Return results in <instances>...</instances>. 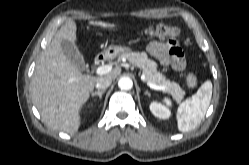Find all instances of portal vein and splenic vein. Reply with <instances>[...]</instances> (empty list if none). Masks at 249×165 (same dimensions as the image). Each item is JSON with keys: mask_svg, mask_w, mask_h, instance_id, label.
Returning <instances> with one entry per match:
<instances>
[{"mask_svg": "<svg viewBox=\"0 0 249 165\" xmlns=\"http://www.w3.org/2000/svg\"><path fill=\"white\" fill-rule=\"evenodd\" d=\"M111 71H112V66L111 65H103V66H99L96 69V74L104 75V74H107V73H109ZM147 85L150 88L154 89V90H164L165 89L164 86L156 85V84H153V83H150V82H147Z\"/></svg>", "mask_w": 249, "mask_h": 165, "instance_id": "obj_1", "label": "portal vein and splenic vein"}]
</instances>
